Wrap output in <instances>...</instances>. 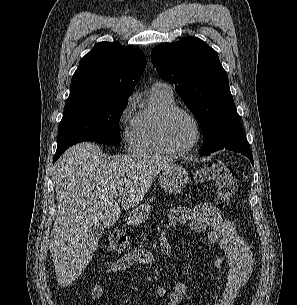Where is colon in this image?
I'll list each match as a JSON object with an SVG mask.
<instances>
[{"label": "colon", "instance_id": "colon-1", "mask_svg": "<svg viewBox=\"0 0 297 305\" xmlns=\"http://www.w3.org/2000/svg\"><path fill=\"white\" fill-rule=\"evenodd\" d=\"M196 180L199 183H213L216 187V203L220 208H226L231 204L236 191L237 175L232 168L223 162L210 163L196 172ZM106 246L109 251L121 253L128 248V237L123 229H114Z\"/></svg>", "mask_w": 297, "mask_h": 305}]
</instances>
